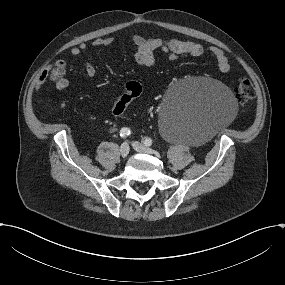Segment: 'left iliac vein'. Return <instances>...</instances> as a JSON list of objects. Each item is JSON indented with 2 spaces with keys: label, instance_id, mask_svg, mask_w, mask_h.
Listing matches in <instances>:
<instances>
[{
  "label": "left iliac vein",
  "instance_id": "4c4485c4",
  "mask_svg": "<svg viewBox=\"0 0 285 285\" xmlns=\"http://www.w3.org/2000/svg\"><path fill=\"white\" fill-rule=\"evenodd\" d=\"M132 145L137 152L146 153V154H153L154 153L153 149L146 147V146L140 144L139 142H133Z\"/></svg>",
  "mask_w": 285,
  "mask_h": 285
}]
</instances>
